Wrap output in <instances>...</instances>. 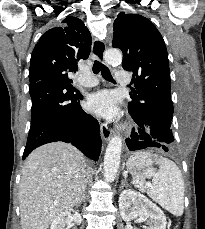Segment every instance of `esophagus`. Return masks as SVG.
I'll use <instances>...</instances> for the list:
<instances>
[{
    "label": "esophagus",
    "mask_w": 205,
    "mask_h": 229,
    "mask_svg": "<svg viewBox=\"0 0 205 229\" xmlns=\"http://www.w3.org/2000/svg\"><path fill=\"white\" fill-rule=\"evenodd\" d=\"M106 50V45L104 41L95 38L92 43V54L93 56L98 59L101 63L104 62V53ZM100 131H101V136L103 140L108 141L111 137V129L106 123H101L100 124Z\"/></svg>",
    "instance_id": "obj_1"
}]
</instances>
